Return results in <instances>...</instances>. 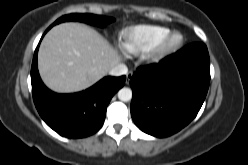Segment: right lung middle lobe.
<instances>
[{"label": "right lung middle lobe", "mask_w": 248, "mask_h": 165, "mask_svg": "<svg viewBox=\"0 0 248 165\" xmlns=\"http://www.w3.org/2000/svg\"><path fill=\"white\" fill-rule=\"evenodd\" d=\"M64 21H80V22H85V23H89V24H92V25L104 27L108 23L114 21V18L100 16V15H93V14H77V13H74V14H69V15L62 16L57 21H55L52 24V26H54V25H56L58 23L64 22Z\"/></svg>", "instance_id": "obj_1"}]
</instances>
